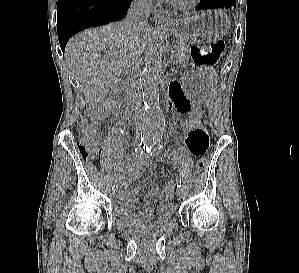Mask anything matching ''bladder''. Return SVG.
Masks as SVG:
<instances>
[{
    "mask_svg": "<svg viewBox=\"0 0 299 273\" xmlns=\"http://www.w3.org/2000/svg\"><path fill=\"white\" fill-rule=\"evenodd\" d=\"M115 223L123 228L132 230L138 233H153L167 228L173 223V213L165 216H157L152 220H142L131 215H126L119 211L114 210Z\"/></svg>",
    "mask_w": 299,
    "mask_h": 273,
    "instance_id": "31cf9c89",
    "label": "bladder"
}]
</instances>
